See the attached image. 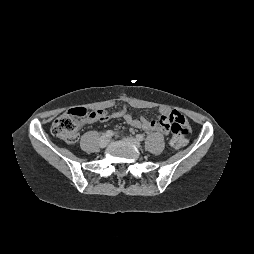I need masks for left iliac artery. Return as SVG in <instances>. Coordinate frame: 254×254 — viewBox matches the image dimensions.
Here are the masks:
<instances>
[{
	"instance_id": "44dca946",
	"label": "left iliac artery",
	"mask_w": 254,
	"mask_h": 254,
	"mask_svg": "<svg viewBox=\"0 0 254 254\" xmlns=\"http://www.w3.org/2000/svg\"><path fill=\"white\" fill-rule=\"evenodd\" d=\"M136 138H137V140H139V141H143V140H144V136L141 135V134H137V135H136Z\"/></svg>"
}]
</instances>
